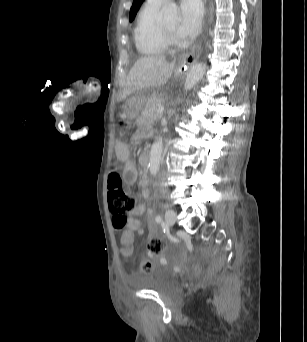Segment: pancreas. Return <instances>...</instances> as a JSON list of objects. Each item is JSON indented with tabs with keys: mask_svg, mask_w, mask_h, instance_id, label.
<instances>
[{
	"mask_svg": "<svg viewBox=\"0 0 307 342\" xmlns=\"http://www.w3.org/2000/svg\"><path fill=\"white\" fill-rule=\"evenodd\" d=\"M161 98L162 97L159 94H156L154 97L148 98V103L151 104V108H144L141 115L143 119H148L149 116H151V118H154V120H159V118H161L162 112H160L159 110V104L162 102Z\"/></svg>",
	"mask_w": 307,
	"mask_h": 342,
	"instance_id": "1",
	"label": "pancreas"
}]
</instances>
